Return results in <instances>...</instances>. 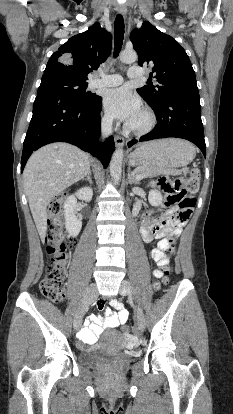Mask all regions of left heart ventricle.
<instances>
[{
  "label": "left heart ventricle",
  "instance_id": "left-heart-ventricle-1",
  "mask_svg": "<svg viewBox=\"0 0 233 414\" xmlns=\"http://www.w3.org/2000/svg\"><path fill=\"white\" fill-rule=\"evenodd\" d=\"M144 122H145V117L143 113H141L131 124L133 126H141L144 124Z\"/></svg>",
  "mask_w": 233,
  "mask_h": 414
}]
</instances>
